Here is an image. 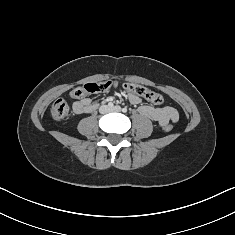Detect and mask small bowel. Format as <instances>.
Wrapping results in <instances>:
<instances>
[{
  "label": "small bowel",
  "mask_w": 235,
  "mask_h": 235,
  "mask_svg": "<svg viewBox=\"0 0 235 235\" xmlns=\"http://www.w3.org/2000/svg\"><path fill=\"white\" fill-rule=\"evenodd\" d=\"M128 99L133 104H141V99L135 94L128 93ZM95 106L90 98H85L76 101L73 104L74 112L77 114L89 113L91 107ZM140 112L148 116L152 120L158 122L161 126H166L169 123L178 121L179 113L172 106L154 107L147 104L140 106Z\"/></svg>",
  "instance_id": "c3829d8e"
}]
</instances>
